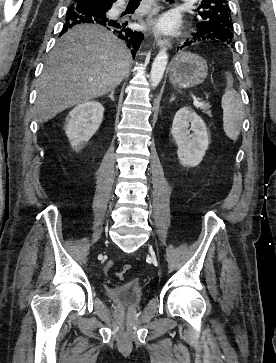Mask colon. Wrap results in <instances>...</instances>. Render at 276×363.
Listing matches in <instances>:
<instances>
[{
	"mask_svg": "<svg viewBox=\"0 0 276 363\" xmlns=\"http://www.w3.org/2000/svg\"><path fill=\"white\" fill-rule=\"evenodd\" d=\"M130 265H126L124 268H123V270H122V272L121 273H125V272H128L129 270H130Z\"/></svg>",
	"mask_w": 276,
	"mask_h": 363,
	"instance_id": "colon-1",
	"label": "colon"
}]
</instances>
